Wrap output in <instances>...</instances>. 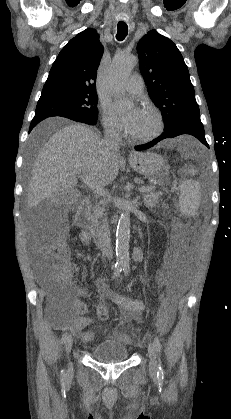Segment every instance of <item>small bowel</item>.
<instances>
[{
	"mask_svg": "<svg viewBox=\"0 0 231 419\" xmlns=\"http://www.w3.org/2000/svg\"><path fill=\"white\" fill-rule=\"evenodd\" d=\"M82 240L87 243L89 238L83 235ZM179 252L180 250L176 249L166 254L162 270L159 274V283L161 285L167 281L169 270L174 261L178 258ZM170 293L173 292L170 291ZM98 296L101 302L97 307V312L100 307L105 306L104 300L109 299L119 308L123 322H128L137 318L148 305L146 301L131 299L114 292L111 288L107 287L103 281L98 282ZM74 309L77 316L72 321V329L81 336L83 340L88 342L92 339L93 334L90 331H85V328L91 324V319L85 316L88 311L87 306L82 301L77 300L75 301ZM114 335L117 337L122 336L118 332H115Z\"/></svg>",
	"mask_w": 231,
	"mask_h": 419,
	"instance_id": "small-bowel-1",
	"label": "small bowel"
}]
</instances>
